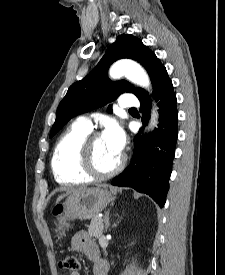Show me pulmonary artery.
<instances>
[{"label":"pulmonary artery","mask_w":225,"mask_h":275,"mask_svg":"<svg viewBox=\"0 0 225 275\" xmlns=\"http://www.w3.org/2000/svg\"><path fill=\"white\" fill-rule=\"evenodd\" d=\"M138 105V99L131 94L124 93L119 97V106L122 108H134ZM76 123L88 129L92 128L91 120L84 116L78 117Z\"/></svg>","instance_id":"1"}]
</instances>
